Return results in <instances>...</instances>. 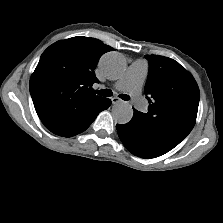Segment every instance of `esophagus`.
I'll return each mask as SVG.
<instances>
[{
	"label": "esophagus",
	"instance_id": "1",
	"mask_svg": "<svg viewBox=\"0 0 223 223\" xmlns=\"http://www.w3.org/2000/svg\"><path fill=\"white\" fill-rule=\"evenodd\" d=\"M111 101H112V104H117V103L121 102L122 100L120 98H118V97H113L111 99Z\"/></svg>",
	"mask_w": 223,
	"mask_h": 223
}]
</instances>
